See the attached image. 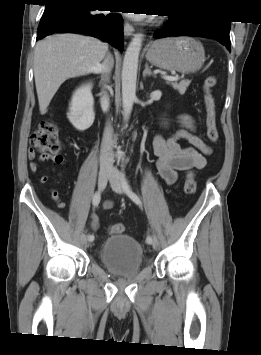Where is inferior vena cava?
Returning <instances> with one entry per match:
<instances>
[{
    "mask_svg": "<svg viewBox=\"0 0 261 355\" xmlns=\"http://www.w3.org/2000/svg\"><path fill=\"white\" fill-rule=\"evenodd\" d=\"M107 58L102 65H100V72L103 74V81L108 79V74L110 73V67L112 66L111 60ZM101 107L104 112L108 111L109 108V97L107 93L104 92L101 97ZM112 147H113V133L110 124H107L104 130L102 145H101V156H100V168L109 169L113 168V158H112Z\"/></svg>",
    "mask_w": 261,
    "mask_h": 355,
    "instance_id": "1",
    "label": "inferior vena cava"
}]
</instances>
